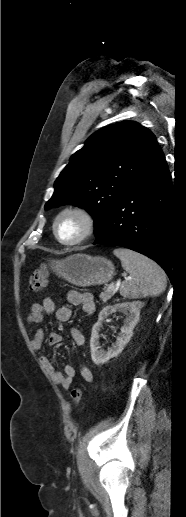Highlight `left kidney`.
Instances as JSON below:
<instances>
[{"label":"left kidney","instance_id":"1","mask_svg":"<svg viewBox=\"0 0 186 517\" xmlns=\"http://www.w3.org/2000/svg\"><path fill=\"white\" fill-rule=\"evenodd\" d=\"M142 306L143 303L141 301L124 302L113 306H106L100 311L98 321L92 327L90 339L91 358L96 365L104 364L122 352L133 335V329L139 321L140 309ZM117 311L126 314L127 318L124 321V325L121 327V333L117 337L116 342L111 348L104 351L101 349L99 343V332L102 327V321L110 314Z\"/></svg>","mask_w":186,"mask_h":517}]
</instances>
